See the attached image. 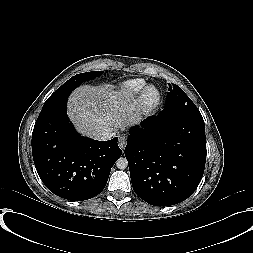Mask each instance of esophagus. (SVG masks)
<instances>
[{
	"label": "esophagus",
	"instance_id": "34e87169",
	"mask_svg": "<svg viewBox=\"0 0 253 253\" xmlns=\"http://www.w3.org/2000/svg\"><path fill=\"white\" fill-rule=\"evenodd\" d=\"M118 145L119 147L123 150L126 146V136L125 135H121L118 139Z\"/></svg>",
	"mask_w": 253,
	"mask_h": 253
}]
</instances>
